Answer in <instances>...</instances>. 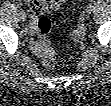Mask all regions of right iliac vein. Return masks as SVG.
<instances>
[{
  "label": "right iliac vein",
  "instance_id": "right-iliac-vein-1",
  "mask_svg": "<svg viewBox=\"0 0 111 106\" xmlns=\"http://www.w3.org/2000/svg\"><path fill=\"white\" fill-rule=\"evenodd\" d=\"M20 18L22 21H25L27 19V16L26 15H20Z\"/></svg>",
  "mask_w": 111,
  "mask_h": 106
}]
</instances>
